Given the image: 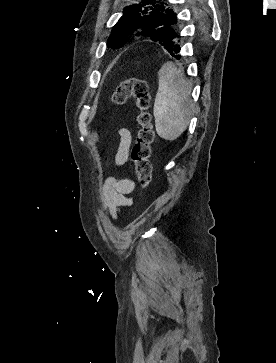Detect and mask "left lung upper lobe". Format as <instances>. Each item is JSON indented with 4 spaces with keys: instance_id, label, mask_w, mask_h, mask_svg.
<instances>
[{
    "instance_id": "5c2ea615",
    "label": "left lung upper lobe",
    "mask_w": 276,
    "mask_h": 363,
    "mask_svg": "<svg viewBox=\"0 0 276 363\" xmlns=\"http://www.w3.org/2000/svg\"><path fill=\"white\" fill-rule=\"evenodd\" d=\"M178 18L168 4L162 0H141L124 9L123 16L113 27L107 45L120 48L132 36H147L158 41L164 48L180 42L177 31Z\"/></svg>"
}]
</instances>
